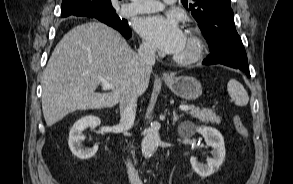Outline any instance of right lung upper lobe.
Masks as SVG:
<instances>
[{
  "mask_svg": "<svg viewBox=\"0 0 293 184\" xmlns=\"http://www.w3.org/2000/svg\"><path fill=\"white\" fill-rule=\"evenodd\" d=\"M80 1H84V0H63L61 16L68 17L70 15L85 16V15L95 14L91 11L83 10L79 4ZM92 1H96L103 4L108 11L114 9L112 6L111 0H92Z\"/></svg>",
  "mask_w": 293,
  "mask_h": 184,
  "instance_id": "1",
  "label": "right lung upper lobe"
}]
</instances>
